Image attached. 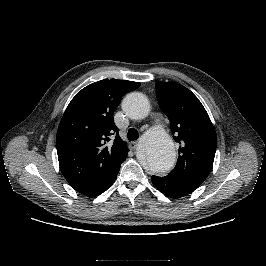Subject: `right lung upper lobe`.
<instances>
[{"instance_id": "obj_1", "label": "right lung upper lobe", "mask_w": 266, "mask_h": 266, "mask_svg": "<svg viewBox=\"0 0 266 266\" xmlns=\"http://www.w3.org/2000/svg\"><path fill=\"white\" fill-rule=\"evenodd\" d=\"M139 86V82L104 79L83 88L69 103L58 127L56 148L60 170L76 191L99 185L126 159L128 150L113 113L122 97Z\"/></svg>"}]
</instances>
